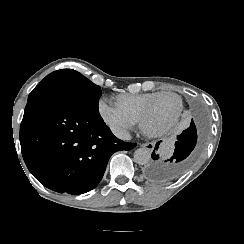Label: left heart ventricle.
Returning <instances> with one entry per match:
<instances>
[{
  "mask_svg": "<svg viewBox=\"0 0 244 244\" xmlns=\"http://www.w3.org/2000/svg\"><path fill=\"white\" fill-rule=\"evenodd\" d=\"M177 106L178 100L174 96L164 95L154 103V111L166 120L176 110Z\"/></svg>",
  "mask_w": 244,
  "mask_h": 244,
  "instance_id": "obj_1",
  "label": "left heart ventricle"
}]
</instances>
